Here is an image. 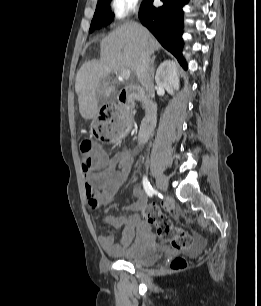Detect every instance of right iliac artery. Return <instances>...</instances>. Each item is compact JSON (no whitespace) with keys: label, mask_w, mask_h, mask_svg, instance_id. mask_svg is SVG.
Masks as SVG:
<instances>
[{"label":"right iliac artery","mask_w":261,"mask_h":306,"mask_svg":"<svg viewBox=\"0 0 261 306\" xmlns=\"http://www.w3.org/2000/svg\"><path fill=\"white\" fill-rule=\"evenodd\" d=\"M143 187L145 192L147 193L148 196L152 197L153 194L155 193V190L152 188V186L150 185L147 177L143 178Z\"/></svg>","instance_id":"1"}]
</instances>
